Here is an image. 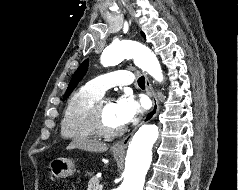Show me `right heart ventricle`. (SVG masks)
Segmentation results:
<instances>
[{
    "mask_svg": "<svg viewBox=\"0 0 238 190\" xmlns=\"http://www.w3.org/2000/svg\"><path fill=\"white\" fill-rule=\"evenodd\" d=\"M102 95L86 85L70 97L61 121L62 136L76 140H90L99 136L91 126L90 113Z\"/></svg>",
    "mask_w": 238,
    "mask_h": 190,
    "instance_id": "1",
    "label": "right heart ventricle"
}]
</instances>
